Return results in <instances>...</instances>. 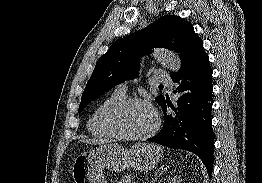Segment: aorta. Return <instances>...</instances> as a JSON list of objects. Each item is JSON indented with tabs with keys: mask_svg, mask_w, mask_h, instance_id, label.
<instances>
[{
	"mask_svg": "<svg viewBox=\"0 0 262 183\" xmlns=\"http://www.w3.org/2000/svg\"><path fill=\"white\" fill-rule=\"evenodd\" d=\"M152 56L157 62L162 63L165 67H167L173 72L179 71L181 67V61L179 56L172 51L159 50L155 51L152 54Z\"/></svg>",
	"mask_w": 262,
	"mask_h": 183,
	"instance_id": "1",
	"label": "aorta"
}]
</instances>
